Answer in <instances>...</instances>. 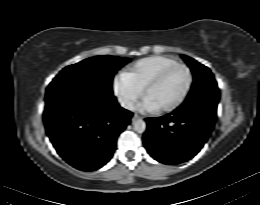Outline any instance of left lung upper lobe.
<instances>
[{
  "instance_id": "obj_1",
  "label": "left lung upper lobe",
  "mask_w": 260,
  "mask_h": 205,
  "mask_svg": "<svg viewBox=\"0 0 260 205\" xmlns=\"http://www.w3.org/2000/svg\"><path fill=\"white\" fill-rule=\"evenodd\" d=\"M191 68L194 82L184 103L177 109L202 108L216 114L219 89L211 71L196 60L182 55Z\"/></svg>"
}]
</instances>
